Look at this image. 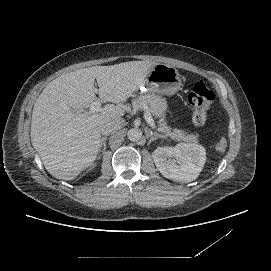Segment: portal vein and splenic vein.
Listing matches in <instances>:
<instances>
[{
	"label": "portal vein and splenic vein",
	"instance_id": "obj_1",
	"mask_svg": "<svg viewBox=\"0 0 271 271\" xmlns=\"http://www.w3.org/2000/svg\"><path fill=\"white\" fill-rule=\"evenodd\" d=\"M101 103L102 101L100 99H97L96 101L92 102L89 106V112L90 113H95L98 112L99 109L101 108ZM145 120L147 121L148 124L151 125L152 128H155V122L151 116V113L147 111L144 115Z\"/></svg>",
	"mask_w": 271,
	"mask_h": 271
}]
</instances>
